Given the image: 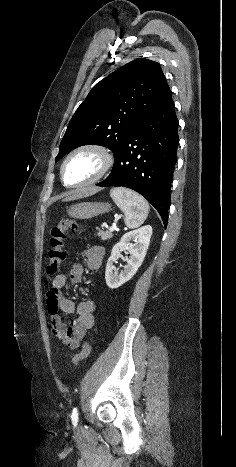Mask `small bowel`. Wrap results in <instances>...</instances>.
Returning <instances> with one entry per match:
<instances>
[{
    "label": "small bowel",
    "mask_w": 236,
    "mask_h": 467,
    "mask_svg": "<svg viewBox=\"0 0 236 467\" xmlns=\"http://www.w3.org/2000/svg\"><path fill=\"white\" fill-rule=\"evenodd\" d=\"M87 267L98 270L102 265L104 249L93 247L85 251ZM84 267L81 264L72 265L68 272L57 275L51 282L46 293V307L50 316L52 334L70 349L79 346L86 332L94 326V303L85 300L75 303L63 295L62 289L66 282L79 283L83 279ZM60 312L76 314L70 326H66L61 319Z\"/></svg>",
    "instance_id": "1"
}]
</instances>
